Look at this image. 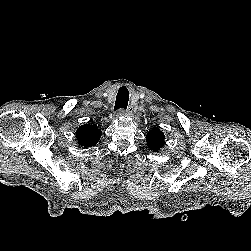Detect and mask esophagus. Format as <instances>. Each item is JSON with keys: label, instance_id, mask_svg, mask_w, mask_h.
I'll return each mask as SVG.
<instances>
[{"label": "esophagus", "instance_id": "obj_1", "mask_svg": "<svg viewBox=\"0 0 251 251\" xmlns=\"http://www.w3.org/2000/svg\"><path fill=\"white\" fill-rule=\"evenodd\" d=\"M132 111H133V107L129 106L126 109H120L119 113L120 114H124L125 113L126 115H130L132 113Z\"/></svg>", "mask_w": 251, "mask_h": 251}]
</instances>
